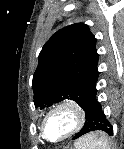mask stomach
Listing matches in <instances>:
<instances>
[{
    "label": "stomach",
    "mask_w": 124,
    "mask_h": 149,
    "mask_svg": "<svg viewBox=\"0 0 124 149\" xmlns=\"http://www.w3.org/2000/svg\"><path fill=\"white\" fill-rule=\"evenodd\" d=\"M93 136H95V137H99L100 134H99V133L90 134V135L86 136V138L89 139L90 137H93ZM76 149H81V148H78V147L76 146Z\"/></svg>",
    "instance_id": "1"
}]
</instances>
